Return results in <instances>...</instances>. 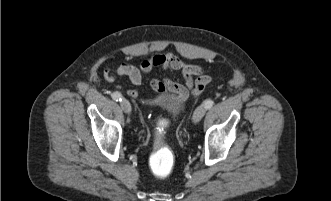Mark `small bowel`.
Listing matches in <instances>:
<instances>
[{
    "label": "small bowel",
    "mask_w": 331,
    "mask_h": 201,
    "mask_svg": "<svg viewBox=\"0 0 331 201\" xmlns=\"http://www.w3.org/2000/svg\"><path fill=\"white\" fill-rule=\"evenodd\" d=\"M156 68L162 71H180L182 73L184 83L175 82L167 77L161 79L153 78L150 80V86L155 92H174L182 99H186L190 90L194 88L196 82L194 77L205 75L201 67L186 63L178 56L167 53L156 54L143 60L140 68L129 63H122L113 71L106 70L104 77L108 81H113L117 76L126 77L133 86H139L142 84L143 74H150ZM128 93L132 98L138 97L136 89H129Z\"/></svg>",
    "instance_id": "obj_1"
}]
</instances>
